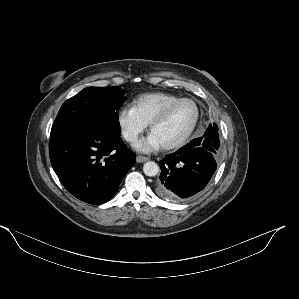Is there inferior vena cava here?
Segmentation results:
<instances>
[{
    "mask_svg": "<svg viewBox=\"0 0 299 299\" xmlns=\"http://www.w3.org/2000/svg\"><path fill=\"white\" fill-rule=\"evenodd\" d=\"M124 138L127 140V141H135L136 140V136L133 135V134H124Z\"/></svg>",
    "mask_w": 299,
    "mask_h": 299,
    "instance_id": "1",
    "label": "inferior vena cava"
}]
</instances>
